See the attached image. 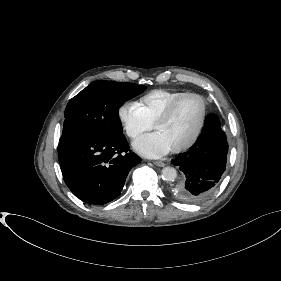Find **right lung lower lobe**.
<instances>
[{"mask_svg": "<svg viewBox=\"0 0 281 281\" xmlns=\"http://www.w3.org/2000/svg\"><path fill=\"white\" fill-rule=\"evenodd\" d=\"M58 159L71 192L96 205L117 198L129 171L141 162L124 134L72 140L58 147Z\"/></svg>", "mask_w": 281, "mask_h": 281, "instance_id": "obj_1", "label": "right lung lower lobe"}]
</instances>
